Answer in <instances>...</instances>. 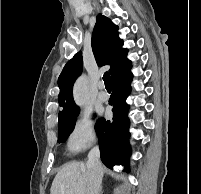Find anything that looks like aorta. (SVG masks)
I'll list each match as a JSON object with an SVG mask.
<instances>
[{
  "label": "aorta",
  "instance_id": "obj_1",
  "mask_svg": "<svg viewBox=\"0 0 201 194\" xmlns=\"http://www.w3.org/2000/svg\"><path fill=\"white\" fill-rule=\"evenodd\" d=\"M87 88H88L87 77L86 76L79 77L73 89L74 100L79 106L83 105L87 100Z\"/></svg>",
  "mask_w": 201,
  "mask_h": 194
}]
</instances>
